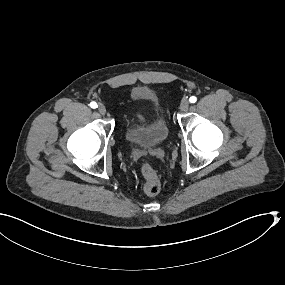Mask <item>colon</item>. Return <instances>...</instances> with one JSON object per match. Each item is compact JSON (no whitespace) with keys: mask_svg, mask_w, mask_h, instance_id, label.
<instances>
[{"mask_svg":"<svg viewBox=\"0 0 285 285\" xmlns=\"http://www.w3.org/2000/svg\"><path fill=\"white\" fill-rule=\"evenodd\" d=\"M140 121H143L142 117L138 116ZM141 172L144 177V192L148 196H155L159 193L161 188V182L159 176L153 166L145 162L141 167Z\"/></svg>","mask_w":285,"mask_h":285,"instance_id":"1","label":"colon"}]
</instances>
